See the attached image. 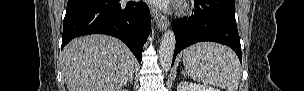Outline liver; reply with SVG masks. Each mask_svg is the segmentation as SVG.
I'll use <instances>...</instances> for the list:
<instances>
[{"label": "liver", "mask_w": 304, "mask_h": 91, "mask_svg": "<svg viewBox=\"0 0 304 91\" xmlns=\"http://www.w3.org/2000/svg\"><path fill=\"white\" fill-rule=\"evenodd\" d=\"M135 61L123 42L101 34L76 38L61 54L68 91H119L133 76Z\"/></svg>", "instance_id": "1"}]
</instances>
